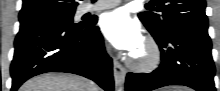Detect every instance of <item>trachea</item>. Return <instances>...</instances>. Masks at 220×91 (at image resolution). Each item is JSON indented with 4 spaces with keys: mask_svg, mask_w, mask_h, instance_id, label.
Here are the masks:
<instances>
[{
    "mask_svg": "<svg viewBox=\"0 0 220 91\" xmlns=\"http://www.w3.org/2000/svg\"><path fill=\"white\" fill-rule=\"evenodd\" d=\"M146 7H150V5H149V4H147V5H146Z\"/></svg>",
    "mask_w": 220,
    "mask_h": 91,
    "instance_id": "trachea-1",
    "label": "trachea"
}]
</instances>
